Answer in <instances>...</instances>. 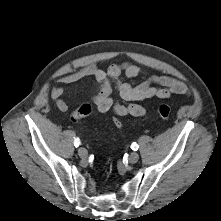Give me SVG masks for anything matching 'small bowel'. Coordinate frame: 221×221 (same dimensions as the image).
<instances>
[{
	"label": "small bowel",
	"instance_id": "small-bowel-1",
	"mask_svg": "<svg viewBox=\"0 0 221 221\" xmlns=\"http://www.w3.org/2000/svg\"><path fill=\"white\" fill-rule=\"evenodd\" d=\"M140 72L139 66L128 61L112 64L107 69H103L97 64H90L62 76L61 81L72 84L84 78L93 77L97 83V90L93 96L96 109L100 113L112 112L115 116L141 117L146 114V108L139 102L153 98L166 100L172 95L189 93L187 86L182 81L172 77L152 76L137 85L123 82L120 79L121 74H124L127 79H133ZM113 86L128 104L123 105L114 102L112 98ZM64 93L65 88L62 86L51 89V98L61 112L68 110V104L63 99Z\"/></svg>",
	"mask_w": 221,
	"mask_h": 221
}]
</instances>
